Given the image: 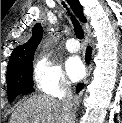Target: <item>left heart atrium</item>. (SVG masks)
Here are the masks:
<instances>
[{"mask_svg": "<svg viewBox=\"0 0 122 123\" xmlns=\"http://www.w3.org/2000/svg\"><path fill=\"white\" fill-rule=\"evenodd\" d=\"M66 71L72 81L80 80L85 74V68L81 59L77 56H72L66 61Z\"/></svg>", "mask_w": 122, "mask_h": 123, "instance_id": "1", "label": "left heart atrium"}]
</instances>
